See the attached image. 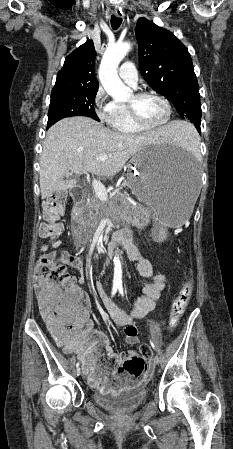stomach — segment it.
Instances as JSON below:
<instances>
[{"label":"stomach","mask_w":233,"mask_h":449,"mask_svg":"<svg viewBox=\"0 0 233 449\" xmlns=\"http://www.w3.org/2000/svg\"><path fill=\"white\" fill-rule=\"evenodd\" d=\"M199 171L195 159L165 144L151 143L133 154L127 181L134 195L152 212L160 240L167 228L182 226L199 200Z\"/></svg>","instance_id":"0dacf381"}]
</instances>
